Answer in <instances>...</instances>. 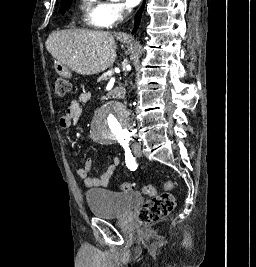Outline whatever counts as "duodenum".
Returning a JSON list of instances; mask_svg holds the SVG:
<instances>
[{"label": "duodenum", "instance_id": "1", "mask_svg": "<svg viewBox=\"0 0 256 267\" xmlns=\"http://www.w3.org/2000/svg\"><path fill=\"white\" fill-rule=\"evenodd\" d=\"M55 70L58 75H61V79H71L70 68L68 66H56ZM107 93H112V90H107ZM108 98H111V101H118V95L116 94L108 95Z\"/></svg>", "mask_w": 256, "mask_h": 267}]
</instances>
